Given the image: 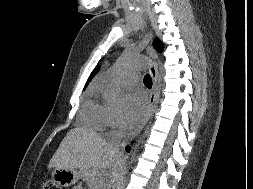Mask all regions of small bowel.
<instances>
[{"mask_svg": "<svg viewBox=\"0 0 253 189\" xmlns=\"http://www.w3.org/2000/svg\"><path fill=\"white\" fill-rule=\"evenodd\" d=\"M75 189H80L79 187H76Z\"/></svg>", "mask_w": 253, "mask_h": 189, "instance_id": "c3829d8e", "label": "small bowel"}]
</instances>
